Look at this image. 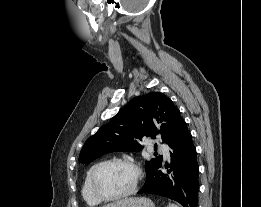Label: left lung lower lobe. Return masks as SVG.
I'll use <instances>...</instances> for the list:
<instances>
[{
	"label": "left lung lower lobe",
	"instance_id": "obj_1",
	"mask_svg": "<svg viewBox=\"0 0 261 207\" xmlns=\"http://www.w3.org/2000/svg\"><path fill=\"white\" fill-rule=\"evenodd\" d=\"M170 163L161 171V163L146 176L138 194H156L179 202L183 207H197L199 166L196 148L185 121L170 145Z\"/></svg>",
	"mask_w": 261,
	"mask_h": 207
}]
</instances>
